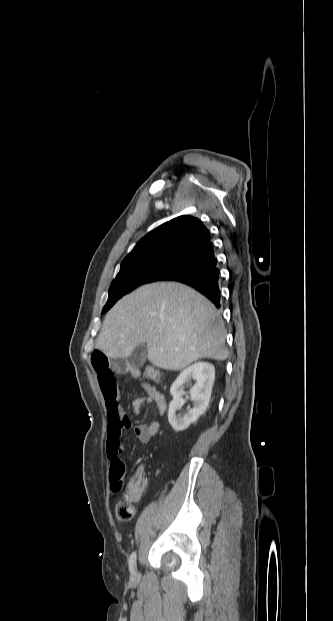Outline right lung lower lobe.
I'll use <instances>...</instances> for the list:
<instances>
[{
	"label": "right lung lower lobe",
	"instance_id": "1",
	"mask_svg": "<svg viewBox=\"0 0 333 621\" xmlns=\"http://www.w3.org/2000/svg\"><path fill=\"white\" fill-rule=\"evenodd\" d=\"M219 274L214 246L209 242L185 258L179 267L163 280L189 285L220 308Z\"/></svg>",
	"mask_w": 333,
	"mask_h": 621
}]
</instances>
